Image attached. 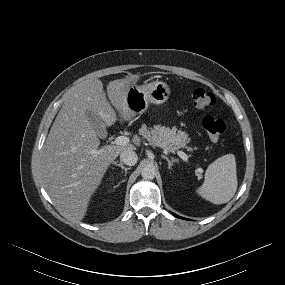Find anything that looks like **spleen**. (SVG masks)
<instances>
[{
  "mask_svg": "<svg viewBox=\"0 0 285 285\" xmlns=\"http://www.w3.org/2000/svg\"><path fill=\"white\" fill-rule=\"evenodd\" d=\"M236 161L233 154L224 155L211 163L197 193L214 204L227 203L237 190Z\"/></svg>",
  "mask_w": 285,
  "mask_h": 285,
  "instance_id": "obj_1",
  "label": "spleen"
}]
</instances>
